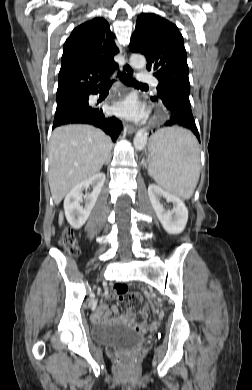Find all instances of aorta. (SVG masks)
Listing matches in <instances>:
<instances>
[{"mask_svg": "<svg viewBox=\"0 0 252 390\" xmlns=\"http://www.w3.org/2000/svg\"><path fill=\"white\" fill-rule=\"evenodd\" d=\"M130 65L135 69H143L146 66V59L142 55L133 54L130 57ZM147 136L148 133L146 132V130L144 129L138 130L133 141L135 149L142 150L146 146Z\"/></svg>", "mask_w": 252, "mask_h": 390, "instance_id": "aorta-1", "label": "aorta"}]
</instances>
